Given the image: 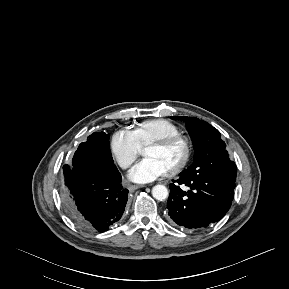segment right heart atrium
Listing matches in <instances>:
<instances>
[{
  "mask_svg": "<svg viewBox=\"0 0 289 289\" xmlns=\"http://www.w3.org/2000/svg\"><path fill=\"white\" fill-rule=\"evenodd\" d=\"M110 149L118 164L126 169L129 168L139 156L141 146L133 131L120 129L112 135Z\"/></svg>",
  "mask_w": 289,
  "mask_h": 289,
  "instance_id": "1",
  "label": "right heart atrium"
}]
</instances>
